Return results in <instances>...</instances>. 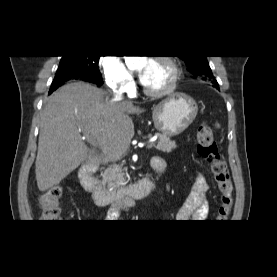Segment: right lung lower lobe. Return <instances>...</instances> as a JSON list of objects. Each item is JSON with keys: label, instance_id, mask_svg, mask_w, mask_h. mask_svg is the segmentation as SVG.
I'll list each match as a JSON object with an SVG mask.
<instances>
[{"label": "right lung lower lobe", "instance_id": "right-lung-lower-lobe-1", "mask_svg": "<svg viewBox=\"0 0 277 277\" xmlns=\"http://www.w3.org/2000/svg\"><path fill=\"white\" fill-rule=\"evenodd\" d=\"M70 79H83L85 81H90L92 83H96L98 85H101L100 82L92 81L90 78L79 76L77 74L76 75H69V76L64 75V76H61V77H57L53 80L49 94H51L53 91H55L60 86V84H62L65 81H68Z\"/></svg>", "mask_w": 277, "mask_h": 277}]
</instances>
